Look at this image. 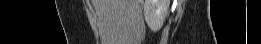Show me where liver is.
I'll return each mask as SVG.
<instances>
[{
    "mask_svg": "<svg viewBox=\"0 0 261 44\" xmlns=\"http://www.w3.org/2000/svg\"><path fill=\"white\" fill-rule=\"evenodd\" d=\"M140 0H92L100 22L102 44L141 42Z\"/></svg>",
    "mask_w": 261,
    "mask_h": 44,
    "instance_id": "1",
    "label": "liver"
}]
</instances>
